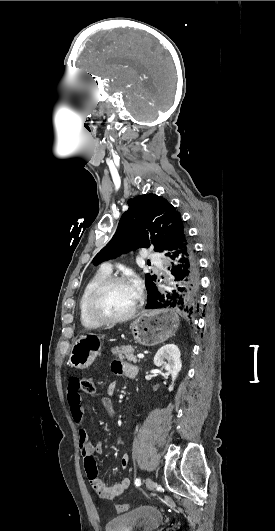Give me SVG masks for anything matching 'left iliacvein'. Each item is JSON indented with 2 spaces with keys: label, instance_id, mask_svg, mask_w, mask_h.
Wrapping results in <instances>:
<instances>
[{
  "label": "left iliac vein",
  "instance_id": "1",
  "mask_svg": "<svg viewBox=\"0 0 275 531\" xmlns=\"http://www.w3.org/2000/svg\"><path fill=\"white\" fill-rule=\"evenodd\" d=\"M146 487L148 489H152V488L156 487V483L152 479L147 478L146 479Z\"/></svg>",
  "mask_w": 275,
  "mask_h": 531
}]
</instances>
